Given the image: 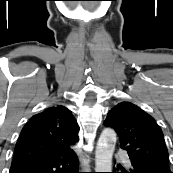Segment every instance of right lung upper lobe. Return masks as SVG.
I'll return each mask as SVG.
<instances>
[{"label": "right lung upper lobe", "instance_id": "right-lung-upper-lobe-1", "mask_svg": "<svg viewBox=\"0 0 173 173\" xmlns=\"http://www.w3.org/2000/svg\"><path fill=\"white\" fill-rule=\"evenodd\" d=\"M78 132L69 109L62 105L47 108L23 127L11 165L68 154L79 140Z\"/></svg>", "mask_w": 173, "mask_h": 173}]
</instances>
